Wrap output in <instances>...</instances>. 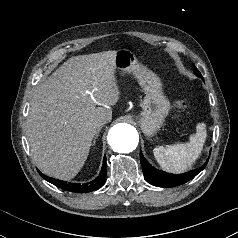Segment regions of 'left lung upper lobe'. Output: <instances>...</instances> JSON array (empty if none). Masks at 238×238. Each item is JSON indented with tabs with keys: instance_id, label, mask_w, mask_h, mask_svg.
I'll return each instance as SVG.
<instances>
[{
	"instance_id": "left-lung-upper-lobe-1",
	"label": "left lung upper lobe",
	"mask_w": 238,
	"mask_h": 238,
	"mask_svg": "<svg viewBox=\"0 0 238 238\" xmlns=\"http://www.w3.org/2000/svg\"><path fill=\"white\" fill-rule=\"evenodd\" d=\"M194 72H195V74H196L197 76L203 78L202 75H201V73L199 72V70H198L197 68H194Z\"/></svg>"
}]
</instances>
